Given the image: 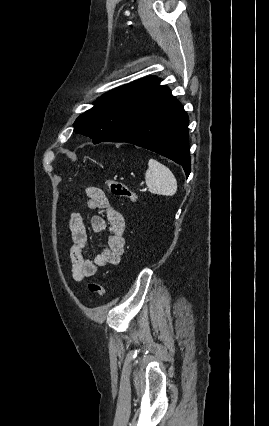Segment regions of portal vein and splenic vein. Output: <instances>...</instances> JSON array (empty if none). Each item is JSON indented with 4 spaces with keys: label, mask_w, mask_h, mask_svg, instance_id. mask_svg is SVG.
Masks as SVG:
<instances>
[{
    "label": "portal vein and splenic vein",
    "mask_w": 269,
    "mask_h": 426,
    "mask_svg": "<svg viewBox=\"0 0 269 426\" xmlns=\"http://www.w3.org/2000/svg\"><path fill=\"white\" fill-rule=\"evenodd\" d=\"M146 190H147L146 188L141 189V191H146Z\"/></svg>",
    "instance_id": "obj_1"
}]
</instances>
